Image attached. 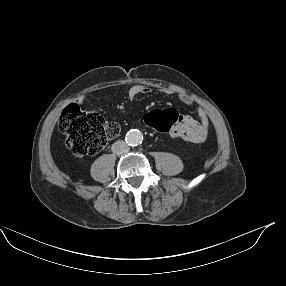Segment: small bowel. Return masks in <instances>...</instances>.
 <instances>
[{"instance_id":"c3829d8e","label":"small bowel","mask_w":286,"mask_h":286,"mask_svg":"<svg viewBox=\"0 0 286 286\" xmlns=\"http://www.w3.org/2000/svg\"><path fill=\"white\" fill-rule=\"evenodd\" d=\"M149 92L150 89L147 86L134 84L128 89L127 97L130 101H133L139 95L148 94ZM181 98L186 104L191 103V98L188 95H182ZM180 116L181 120L174 124L169 130V133L173 138H179L195 144L202 143L207 139L210 122L205 110H198L199 121H195L189 116L181 114Z\"/></svg>"}]
</instances>
